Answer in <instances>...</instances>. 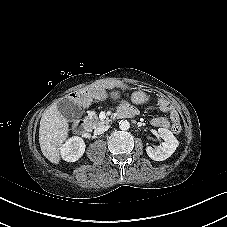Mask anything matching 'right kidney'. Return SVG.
I'll use <instances>...</instances> for the list:
<instances>
[{
	"label": "right kidney",
	"instance_id": "right-kidney-1",
	"mask_svg": "<svg viewBox=\"0 0 227 227\" xmlns=\"http://www.w3.org/2000/svg\"><path fill=\"white\" fill-rule=\"evenodd\" d=\"M85 152V143L81 137L69 138L60 148V155L67 162H75Z\"/></svg>",
	"mask_w": 227,
	"mask_h": 227
}]
</instances>
